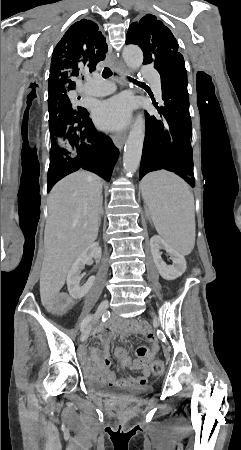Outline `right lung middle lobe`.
Listing matches in <instances>:
<instances>
[{
  "mask_svg": "<svg viewBox=\"0 0 241 450\" xmlns=\"http://www.w3.org/2000/svg\"><path fill=\"white\" fill-rule=\"evenodd\" d=\"M48 110L51 139L50 155L73 152L74 145L65 133L60 130V126L65 122L79 121L89 113L85 108L78 105L76 98L69 95L48 100Z\"/></svg>",
  "mask_w": 241,
  "mask_h": 450,
  "instance_id": "obj_1",
  "label": "right lung middle lobe"
}]
</instances>
